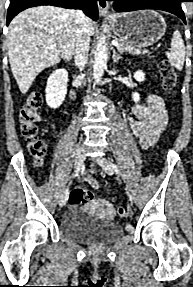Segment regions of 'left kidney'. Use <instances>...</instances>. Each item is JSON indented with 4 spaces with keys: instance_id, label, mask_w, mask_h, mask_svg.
Returning a JSON list of instances; mask_svg holds the SVG:
<instances>
[{
    "instance_id": "1",
    "label": "left kidney",
    "mask_w": 193,
    "mask_h": 287,
    "mask_svg": "<svg viewBox=\"0 0 193 287\" xmlns=\"http://www.w3.org/2000/svg\"><path fill=\"white\" fill-rule=\"evenodd\" d=\"M134 78L138 82H143L145 80V74L142 70H138L134 73ZM132 99L134 102L137 103L140 100L139 93H137V92L132 93Z\"/></svg>"
}]
</instances>
